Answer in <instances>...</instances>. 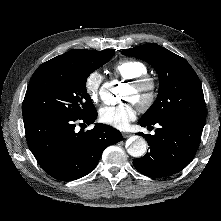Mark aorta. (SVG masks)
Here are the masks:
<instances>
[{
    "mask_svg": "<svg viewBox=\"0 0 221 221\" xmlns=\"http://www.w3.org/2000/svg\"><path fill=\"white\" fill-rule=\"evenodd\" d=\"M104 89L108 90V96L112 98V96H118L120 87H111L110 85H105ZM147 151V142L142 137H137L133 140L131 145L128 147L127 152L129 155L139 158L145 155Z\"/></svg>",
    "mask_w": 221,
    "mask_h": 221,
    "instance_id": "1",
    "label": "aorta"
}]
</instances>
